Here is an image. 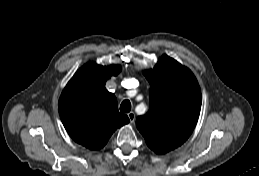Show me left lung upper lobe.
Masks as SVG:
<instances>
[{
  "label": "left lung upper lobe",
  "mask_w": 259,
  "mask_h": 176,
  "mask_svg": "<svg viewBox=\"0 0 259 176\" xmlns=\"http://www.w3.org/2000/svg\"><path fill=\"white\" fill-rule=\"evenodd\" d=\"M143 73L150 84V109L136 119V126L148 147L164 154L183 144L194 130L201 90L193 73L167 55Z\"/></svg>",
  "instance_id": "5c2ea615"
}]
</instances>
